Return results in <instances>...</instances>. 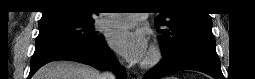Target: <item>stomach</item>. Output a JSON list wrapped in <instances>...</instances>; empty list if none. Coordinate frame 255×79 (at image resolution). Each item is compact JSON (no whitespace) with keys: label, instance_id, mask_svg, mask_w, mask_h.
I'll list each match as a JSON object with an SVG mask.
<instances>
[{"label":"stomach","instance_id":"1","mask_svg":"<svg viewBox=\"0 0 255 79\" xmlns=\"http://www.w3.org/2000/svg\"><path fill=\"white\" fill-rule=\"evenodd\" d=\"M167 79H174V77H168Z\"/></svg>","mask_w":255,"mask_h":79}]
</instances>
